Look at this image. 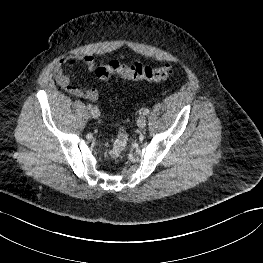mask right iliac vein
I'll return each mask as SVG.
<instances>
[{
	"label": "right iliac vein",
	"mask_w": 263,
	"mask_h": 263,
	"mask_svg": "<svg viewBox=\"0 0 263 263\" xmlns=\"http://www.w3.org/2000/svg\"><path fill=\"white\" fill-rule=\"evenodd\" d=\"M90 113L91 116L95 119H97L100 116V111L97 108H93Z\"/></svg>",
	"instance_id": "63e3f726"
}]
</instances>
